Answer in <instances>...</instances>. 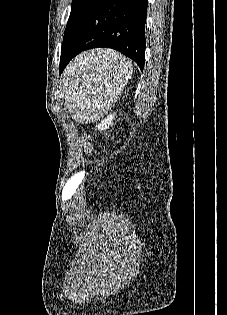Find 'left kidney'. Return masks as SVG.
<instances>
[{"label":"left kidney","instance_id":"1","mask_svg":"<svg viewBox=\"0 0 227 315\" xmlns=\"http://www.w3.org/2000/svg\"><path fill=\"white\" fill-rule=\"evenodd\" d=\"M116 114H110L105 119H103L96 127L98 130L103 131L109 128L112 125L113 119L115 118Z\"/></svg>","mask_w":227,"mask_h":315}]
</instances>
